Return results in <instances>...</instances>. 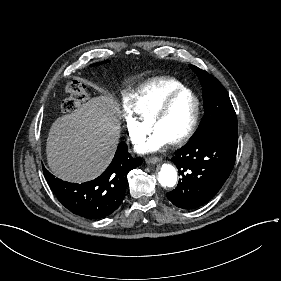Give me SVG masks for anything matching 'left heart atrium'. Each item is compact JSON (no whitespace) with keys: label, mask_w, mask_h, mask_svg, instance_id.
Returning <instances> with one entry per match:
<instances>
[{"label":"left heart atrium","mask_w":281,"mask_h":281,"mask_svg":"<svg viewBox=\"0 0 281 281\" xmlns=\"http://www.w3.org/2000/svg\"><path fill=\"white\" fill-rule=\"evenodd\" d=\"M168 144V141L158 133L153 135L138 146L137 151L142 154L154 153L161 150Z\"/></svg>","instance_id":"39dd6f15"}]
</instances>
